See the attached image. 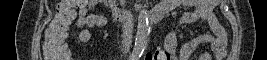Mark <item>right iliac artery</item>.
Instances as JSON below:
<instances>
[{
	"label": "right iliac artery",
	"instance_id": "right-iliac-artery-1",
	"mask_svg": "<svg viewBox=\"0 0 267 60\" xmlns=\"http://www.w3.org/2000/svg\"><path fill=\"white\" fill-rule=\"evenodd\" d=\"M139 57H140V55L134 53V54L130 55L129 60H137Z\"/></svg>",
	"mask_w": 267,
	"mask_h": 60
}]
</instances>
